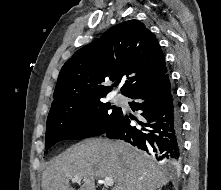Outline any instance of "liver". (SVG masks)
Here are the masks:
<instances>
[{
  "instance_id": "obj_1",
  "label": "liver",
  "mask_w": 221,
  "mask_h": 190,
  "mask_svg": "<svg viewBox=\"0 0 221 190\" xmlns=\"http://www.w3.org/2000/svg\"><path fill=\"white\" fill-rule=\"evenodd\" d=\"M81 177L78 190H95L96 178L111 177L112 190H156L169 182L151 158L137 148L108 139H88L55 157L42 174V190H75L69 180Z\"/></svg>"
}]
</instances>
